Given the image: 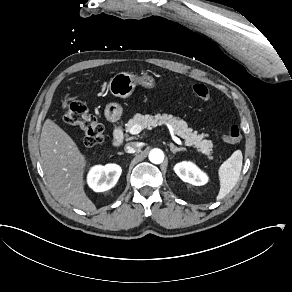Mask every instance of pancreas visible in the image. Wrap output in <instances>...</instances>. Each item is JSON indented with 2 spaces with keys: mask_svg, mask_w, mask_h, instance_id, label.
<instances>
[{
  "mask_svg": "<svg viewBox=\"0 0 292 292\" xmlns=\"http://www.w3.org/2000/svg\"><path fill=\"white\" fill-rule=\"evenodd\" d=\"M160 124H168L172 126L175 134L183 138L187 146H194L197 148L198 152H202L203 154L207 155L209 159H213L211 156L213 143L211 140L203 139L207 135L198 134L197 131L193 132L192 128H188V125L184 120L172 115L156 114L153 116L148 114H136L127 122L126 131H130L134 125H139L142 129H145L149 127H156Z\"/></svg>",
  "mask_w": 292,
  "mask_h": 292,
  "instance_id": "pancreas-1",
  "label": "pancreas"
}]
</instances>
